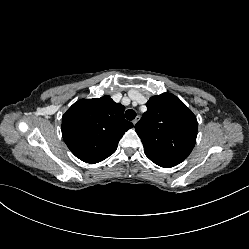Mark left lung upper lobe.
Segmentation results:
<instances>
[{"mask_svg": "<svg viewBox=\"0 0 249 249\" xmlns=\"http://www.w3.org/2000/svg\"><path fill=\"white\" fill-rule=\"evenodd\" d=\"M146 106L147 111L135 125L145 155L161 167L180 164L196 143L195 115L170 93L152 96Z\"/></svg>", "mask_w": 249, "mask_h": 249, "instance_id": "obj_1", "label": "left lung upper lobe"}]
</instances>
